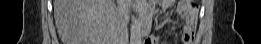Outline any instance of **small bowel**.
Returning <instances> with one entry per match:
<instances>
[{"label":"small bowel","mask_w":261,"mask_h":44,"mask_svg":"<svg viewBox=\"0 0 261 44\" xmlns=\"http://www.w3.org/2000/svg\"><path fill=\"white\" fill-rule=\"evenodd\" d=\"M159 4L162 8H168L173 4L171 0H163L159 2L151 1L145 2L142 9L152 19L155 5ZM178 12L183 16L185 20L184 31L182 35L183 44H192L195 40L197 30V10L190 6H179ZM145 44H159L161 43V37L159 35L149 36L145 41Z\"/></svg>","instance_id":"small-bowel-1"}]
</instances>
